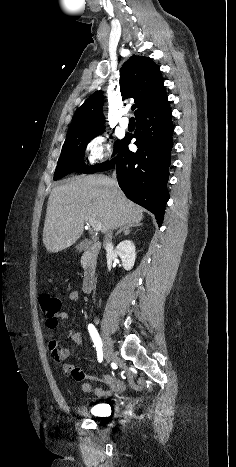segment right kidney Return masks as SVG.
<instances>
[{
	"label": "right kidney",
	"mask_w": 236,
	"mask_h": 467,
	"mask_svg": "<svg viewBox=\"0 0 236 467\" xmlns=\"http://www.w3.org/2000/svg\"><path fill=\"white\" fill-rule=\"evenodd\" d=\"M116 253L122 260V265L125 270H131L136 259L135 246L132 241L125 240L120 242L116 247Z\"/></svg>",
	"instance_id": "ca27d5eb"
}]
</instances>
